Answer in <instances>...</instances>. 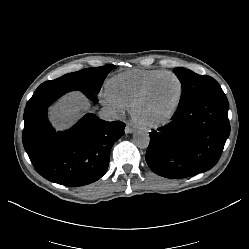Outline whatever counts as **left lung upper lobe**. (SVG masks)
I'll return each instance as SVG.
<instances>
[{"mask_svg": "<svg viewBox=\"0 0 249 249\" xmlns=\"http://www.w3.org/2000/svg\"><path fill=\"white\" fill-rule=\"evenodd\" d=\"M174 73L182 83V97L179 106L210 93H222L219 83L210 76L198 75L185 68H175Z\"/></svg>", "mask_w": 249, "mask_h": 249, "instance_id": "obj_1", "label": "left lung upper lobe"}]
</instances>
